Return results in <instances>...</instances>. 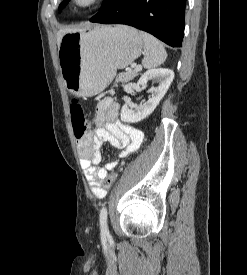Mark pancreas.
Listing matches in <instances>:
<instances>
[{
  "label": "pancreas",
  "instance_id": "obj_1",
  "mask_svg": "<svg viewBox=\"0 0 247 275\" xmlns=\"http://www.w3.org/2000/svg\"><path fill=\"white\" fill-rule=\"evenodd\" d=\"M138 75V72L135 70H129L123 73H119L118 76L116 77L115 84L114 86L117 85V83H127L131 80H133L136 76Z\"/></svg>",
  "mask_w": 247,
  "mask_h": 275
}]
</instances>
